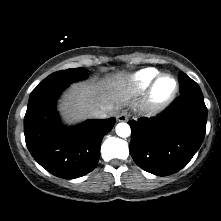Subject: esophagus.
Segmentation results:
<instances>
[{
	"mask_svg": "<svg viewBox=\"0 0 221 221\" xmlns=\"http://www.w3.org/2000/svg\"><path fill=\"white\" fill-rule=\"evenodd\" d=\"M128 120V113L123 111L117 115L118 122H126Z\"/></svg>",
	"mask_w": 221,
	"mask_h": 221,
	"instance_id": "obj_1",
	"label": "esophagus"
}]
</instances>
